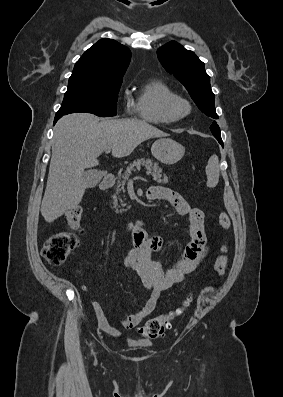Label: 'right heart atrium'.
<instances>
[{
	"label": "right heart atrium",
	"instance_id": "1",
	"mask_svg": "<svg viewBox=\"0 0 283 397\" xmlns=\"http://www.w3.org/2000/svg\"><path fill=\"white\" fill-rule=\"evenodd\" d=\"M123 106H124V112L127 115H132L136 112V105L128 94H125L123 97Z\"/></svg>",
	"mask_w": 283,
	"mask_h": 397
}]
</instances>
